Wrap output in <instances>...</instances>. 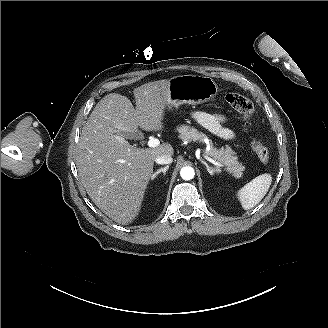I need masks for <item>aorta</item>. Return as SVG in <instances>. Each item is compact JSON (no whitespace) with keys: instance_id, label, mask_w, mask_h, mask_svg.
Segmentation results:
<instances>
[{"instance_id":"aorta-1","label":"aorta","mask_w":328,"mask_h":328,"mask_svg":"<svg viewBox=\"0 0 328 328\" xmlns=\"http://www.w3.org/2000/svg\"><path fill=\"white\" fill-rule=\"evenodd\" d=\"M195 172L194 169L190 166L183 167L180 171V176L184 180H191L194 178Z\"/></svg>"}]
</instances>
